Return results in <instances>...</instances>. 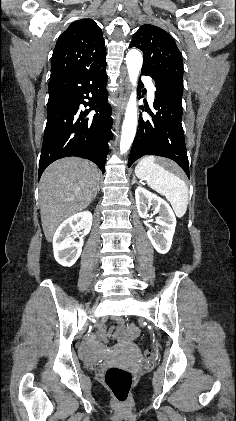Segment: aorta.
Returning <instances> with one entry per match:
<instances>
[{"label":"aorta","instance_id":"1","mask_svg":"<svg viewBox=\"0 0 236 421\" xmlns=\"http://www.w3.org/2000/svg\"><path fill=\"white\" fill-rule=\"evenodd\" d=\"M142 54L136 48H132L127 52L126 64L128 68L129 80L132 84V92L129 96L125 110V118L122 124V132L120 138V152H127L129 150L135 136L137 126V80L139 72L142 68Z\"/></svg>","mask_w":236,"mask_h":421}]
</instances>
